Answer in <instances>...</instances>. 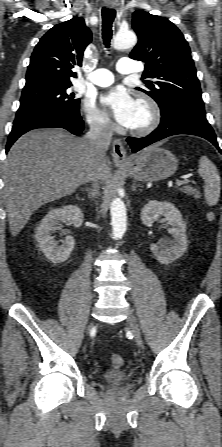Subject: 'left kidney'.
I'll use <instances>...</instances> for the list:
<instances>
[{
    "label": "left kidney",
    "instance_id": "obj_1",
    "mask_svg": "<svg viewBox=\"0 0 222 447\" xmlns=\"http://www.w3.org/2000/svg\"><path fill=\"white\" fill-rule=\"evenodd\" d=\"M160 216H164L171 226L169 233L173 239L152 244L150 250L161 264H170L180 258L187 249L186 224L179 210L167 201L150 200L142 209L141 220L152 226Z\"/></svg>",
    "mask_w": 222,
    "mask_h": 447
}]
</instances>
